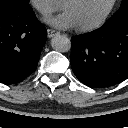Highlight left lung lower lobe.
Masks as SVG:
<instances>
[{
    "label": "left lung lower lobe",
    "instance_id": "left-lung-lower-lobe-1",
    "mask_svg": "<svg viewBox=\"0 0 128 128\" xmlns=\"http://www.w3.org/2000/svg\"><path fill=\"white\" fill-rule=\"evenodd\" d=\"M70 63L77 78L89 87H109L127 79L128 14L72 37Z\"/></svg>",
    "mask_w": 128,
    "mask_h": 128
}]
</instances>
